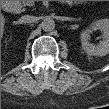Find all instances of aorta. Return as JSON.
<instances>
[{"instance_id": "1", "label": "aorta", "mask_w": 109, "mask_h": 109, "mask_svg": "<svg viewBox=\"0 0 109 109\" xmlns=\"http://www.w3.org/2000/svg\"><path fill=\"white\" fill-rule=\"evenodd\" d=\"M41 28L45 31V32H49L52 31L55 28V21L50 18V17H46L43 19V21L41 22Z\"/></svg>"}]
</instances>
